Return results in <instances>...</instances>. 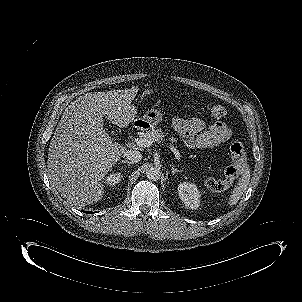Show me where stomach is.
Instances as JSON below:
<instances>
[{"mask_svg": "<svg viewBox=\"0 0 302 302\" xmlns=\"http://www.w3.org/2000/svg\"><path fill=\"white\" fill-rule=\"evenodd\" d=\"M162 120V113L157 109H150L139 119L136 124L143 129H150L159 124Z\"/></svg>", "mask_w": 302, "mask_h": 302, "instance_id": "obj_1", "label": "stomach"}]
</instances>
